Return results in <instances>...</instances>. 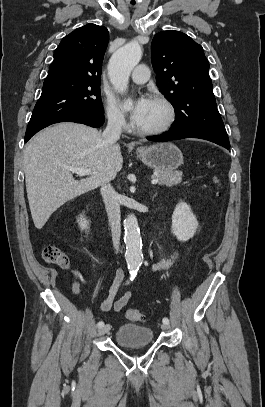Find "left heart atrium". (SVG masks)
I'll list each match as a JSON object with an SVG mask.
<instances>
[{
    "mask_svg": "<svg viewBox=\"0 0 265 407\" xmlns=\"http://www.w3.org/2000/svg\"><path fill=\"white\" fill-rule=\"evenodd\" d=\"M150 102L151 99H149L148 97H141L134 103L131 111V117L135 123L140 122L141 119L144 117L146 111L149 108Z\"/></svg>",
    "mask_w": 265,
    "mask_h": 407,
    "instance_id": "1",
    "label": "left heart atrium"
}]
</instances>
